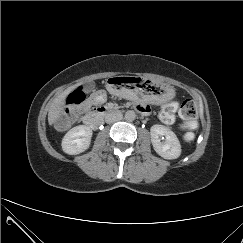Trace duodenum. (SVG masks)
Returning <instances> with one entry per match:
<instances>
[{
    "instance_id": "duodenum-1",
    "label": "duodenum",
    "mask_w": 243,
    "mask_h": 243,
    "mask_svg": "<svg viewBox=\"0 0 243 243\" xmlns=\"http://www.w3.org/2000/svg\"><path fill=\"white\" fill-rule=\"evenodd\" d=\"M118 112L119 111L114 108L99 106L90 110L85 115L84 122L88 127L96 129L106 116L110 114H117Z\"/></svg>"
}]
</instances>
